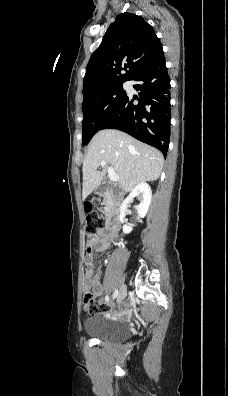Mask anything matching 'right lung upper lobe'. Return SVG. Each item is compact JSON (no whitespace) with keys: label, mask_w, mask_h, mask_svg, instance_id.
I'll return each instance as SVG.
<instances>
[{"label":"right lung upper lobe","mask_w":228,"mask_h":396,"mask_svg":"<svg viewBox=\"0 0 228 396\" xmlns=\"http://www.w3.org/2000/svg\"><path fill=\"white\" fill-rule=\"evenodd\" d=\"M160 46L154 29L142 17L128 12L119 14L89 60L83 96L133 80ZM122 70L124 74H121Z\"/></svg>","instance_id":"right-lung-upper-lobe-1"}]
</instances>
